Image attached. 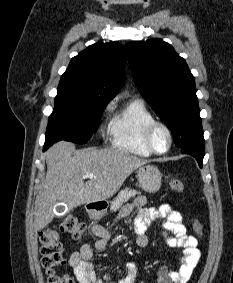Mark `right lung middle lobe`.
<instances>
[{"label": "right lung middle lobe", "mask_w": 233, "mask_h": 283, "mask_svg": "<svg viewBox=\"0 0 233 283\" xmlns=\"http://www.w3.org/2000/svg\"><path fill=\"white\" fill-rule=\"evenodd\" d=\"M105 106V103L91 102L58 90L44 146L48 148L59 140L86 143L96 132Z\"/></svg>", "instance_id": "dd1d6c3e"}]
</instances>
